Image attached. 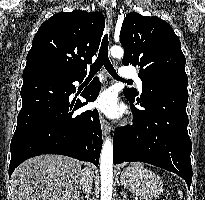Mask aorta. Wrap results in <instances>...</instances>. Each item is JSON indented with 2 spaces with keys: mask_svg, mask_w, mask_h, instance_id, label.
<instances>
[{
  "mask_svg": "<svg viewBox=\"0 0 205 200\" xmlns=\"http://www.w3.org/2000/svg\"><path fill=\"white\" fill-rule=\"evenodd\" d=\"M111 55L114 58H121L124 55L123 48L113 46ZM100 174H101V200L112 199L113 184V145L111 138H106L100 156Z\"/></svg>",
  "mask_w": 205,
  "mask_h": 200,
  "instance_id": "obj_1",
  "label": "aorta"
}]
</instances>
